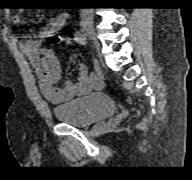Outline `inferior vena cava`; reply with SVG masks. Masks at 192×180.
I'll return each instance as SVG.
<instances>
[{"mask_svg": "<svg viewBox=\"0 0 192 180\" xmlns=\"http://www.w3.org/2000/svg\"><path fill=\"white\" fill-rule=\"evenodd\" d=\"M89 10H92V9L91 8L82 9V13H81L82 18H85L87 15L89 19H92V11H89Z\"/></svg>", "mask_w": 192, "mask_h": 180, "instance_id": "inferior-vena-cava-1", "label": "inferior vena cava"}]
</instances>
